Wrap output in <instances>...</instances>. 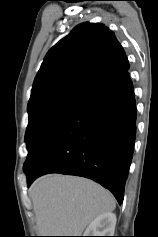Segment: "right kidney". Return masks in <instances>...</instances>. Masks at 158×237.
<instances>
[{
	"mask_svg": "<svg viewBox=\"0 0 158 237\" xmlns=\"http://www.w3.org/2000/svg\"><path fill=\"white\" fill-rule=\"evenodd\" d=\"M116 215L107 212L95 218L86 228L83 236H114Z\"/></svg>",
	"mask_w": 158,
	"mask_h": 237,
	"instance_id": "1",
	"label": "right kidney"
}]
</instances>
